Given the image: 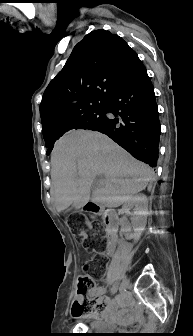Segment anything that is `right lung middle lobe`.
<instances>
[{
    "label": "right lung middle lobe",
    "mask_w": 193,
    "mask_h": 336,
    "mask_svg": "<svg viewBox=\"0 0 193 336\" xmlns=\"http://www.w3.org/2000/svg\"><path fill=\"white\" fill-rule=\"evenodd\" d=\"M104 113H106L105 108H101L82 116L73 124L71 130L89 129L97 131L101 129L102 127H104L108 119ZM60 137L61 136L52 137L45 141V145L48 148L47 154L51 152L52 148L54 147L55 141Z\"/></svg>",
    "instance_id": "right-lung-middle-lobe-1"
}]
</instances>
